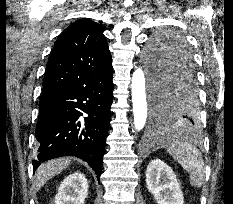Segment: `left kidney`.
<instances>
[{"label":"left kidney","instance_id":"obj_1","mask_svg":"<svg viewBox=\"0 0 233 204\" xmlns=\"http://www.w3.org/2000/svg\"><path fill=\"white\" fill-rule=\"evenodd\" d=\"M146 185L157 204H184L183 193L175 173L160 159L149 163L146 170Z\"/></svg>","mask_w":233,"mask_h":204}]
</instances>
